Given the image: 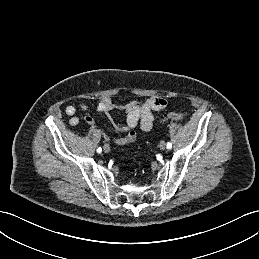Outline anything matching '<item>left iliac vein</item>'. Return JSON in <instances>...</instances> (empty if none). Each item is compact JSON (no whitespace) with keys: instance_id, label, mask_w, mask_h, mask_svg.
I'll return each mask as SVG.
<instances>
[{"instance_id":"left-iliac-vein-1","label":"left iliac vein","mask_w":259,"mask_h":259,"mask_svg":"<svg viewBox=\"0 0 259 259\" xmlns=\"http://www.w3.org/2000/svg\"><path fill=\"white\" fill-rule=\"evenodd\" d=\"M159 147H160L161 150H164L166 148L165 141H161L160 144H159Z\"/></svg>"}]
</instances>
